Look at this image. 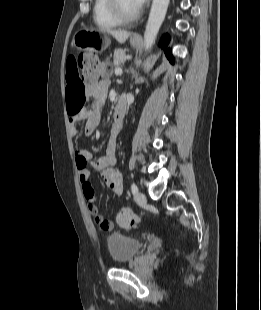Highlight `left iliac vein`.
<instances>
[{
	"mask_svg": "<svg viewBox=\"0 0 261 310\" xmlns=\"http://www.w3.org/2000/svg\"><path fill=\"white\" fill-rule=\"evenodd\" d=\"M135 201L139 204V205H144L146 204V196L144 193L142 192H137L135 194Z\"/></svg>",
	"mask_w": 261,
	"mask_h": 310,
	"instance_id": "1",
	"label": "left iliac vein"
}]
</instances>
